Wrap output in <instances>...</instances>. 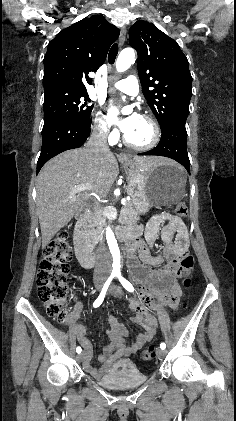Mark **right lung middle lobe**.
<instances>
[{
	"instance_id": "dd1d6c3e",
	"label": "right lung middle lobe",
	"mask_w": 236,
	"mask_h": 421,
	"mask_svg": "<svg viewBox=\"0 0 236 421\" xmlns=\"http://www.w3.org/2000/svg\"><path fill=\"white\" fill-rule=\"evenodd\" d=\"M44 126L57 120L88 127L93 106H87V92L59 88H44Z\"/></svg>"
}]
</instances>
